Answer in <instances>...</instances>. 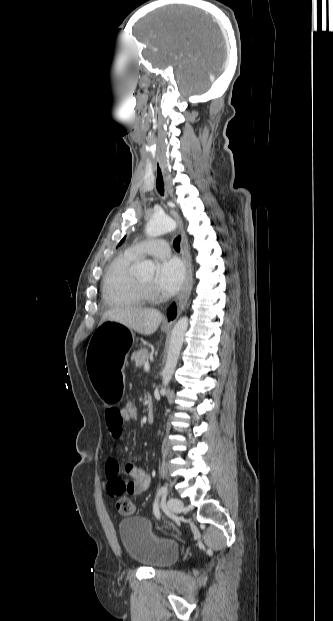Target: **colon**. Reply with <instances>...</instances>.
I'll use <instances>...</instances> for the list:
<instances>
[{"mask_svg": "<svg viewBox=\"0 0 333 621\" xmlns=\"http://www.w3.org/2000/svg\"><path fill=\"white\" fill-rule=\"evenodd\" d=\"M121 409L126 421H133L138 417V407L136 403L127 399L121 402ZM117 510L122 515H132L135 513V505L133 502L125 497L120 498L116 504Z\"/></svg>", "mask_w": 333, "mask_h": 621, "instance_id": "1", "label": "colon"}]
</instances>
